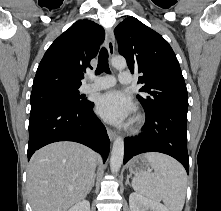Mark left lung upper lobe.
<instances>
[{"label":"left lung upper lobe","instance_id":"5c2ea615","mask_svg":"<svg viewBox=\"0 0 221 211\" xmlns=\"http://www.w3.org/2000/svg\"><path fill=\"white\" fill-rule=\"evenodd\" d=\"M119 53L131 73L141 76L142 95L137 98L145 112L168 107L188 108L187 88L179 62L169 43L138 19L128 17L114 30Z\"/></svg>","mask_w":221,"mask_h":211}]
</instances>
